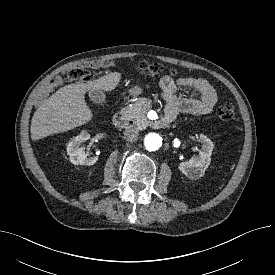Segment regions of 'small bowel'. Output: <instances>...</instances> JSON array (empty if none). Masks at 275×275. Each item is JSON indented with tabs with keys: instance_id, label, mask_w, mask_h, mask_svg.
I'll return each mask as SVG.
<instances>
[{
	"instance_id": "small-bowel-1",
	"label": "small bowel",
	"mask_w": 275,
	"mask_h": 275,
	"mask_svg": "<svg viewBox=\"0 0 275 275\" xmlns=\"http://www.w3.org/2000/svg\"><path fill=\"white\" fill-rule=\"evenodd\" d=\"M61 84V80H56ZM159 87L167 107V118L173 119L178 112L194 116L209 114L218 101V96L212 85L204 78L185 77L173 79L164 76L159 81ZM181 87L191 88L197 93L196 98H184L177 95Z\"/></svg>"
}]
</instances>
